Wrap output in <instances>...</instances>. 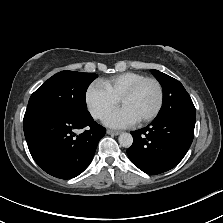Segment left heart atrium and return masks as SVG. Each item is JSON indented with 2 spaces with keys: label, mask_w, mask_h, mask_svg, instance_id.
Masks as SVG:
<instances>
[{
  "label": "left heart atrium",
  "mask_w": 223,
  "mask_h": 223,
  "mask_svg": "<svg viewBox=\"0 0 223 223\" xmlns=\"http://www.w3.org/2000/svg\"><path fill=\"white\" fill-rule=\"evenodd\" d=\"M137 120L124 108H118L105 118V123L114 128H124L134 124Z\"/></svg>",
  "instance_id": "left-heart-atrium-1"
}]
</instances>
